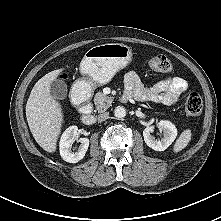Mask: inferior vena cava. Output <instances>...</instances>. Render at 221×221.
<instances>
[{"label":"inferior vena cava","mask_w":221,"mask_h":221,"mask_svg":"<svg viewBox=\"0 0 221 221\" xmlns=\"http://www.w3.org/2000/svg\"><path fill=\"white\" fill-rule=\"evenodd\" d=\"M109 116V113L105 112V113H102L100 115H98V121L99 122H102V121H105Z\"/></svg>","instance_id":"obj_1"}]
</instances>
